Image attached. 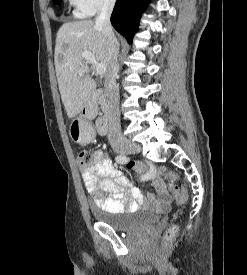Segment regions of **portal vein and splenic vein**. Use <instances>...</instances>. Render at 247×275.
<instances>
[{"instance_id": "18ae733b", "label": "portal vein and splenic vein", "mask_w": 247, "mask_h": 275, "mask_svg": "<svg viewBox=\"0 0 247 275\" xmlns=\"http://www.w3.org/2000/svg\"><path fill=\"white\" fill-rule=\"evenodd\" d=\"M82 58L86 60L88 63L92 64L95 68L97 75H104L106 72V66L103 63H99L94 55L89 51H84L82 53Z\"/></svg>"}]
</instances>
